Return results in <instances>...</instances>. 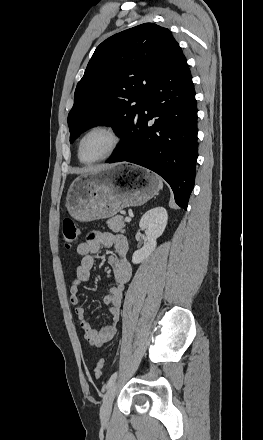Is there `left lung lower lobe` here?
Instances as JSON below:
<instances>
[{
    "label": "left lung lower lobe",
    "instance_id": "left-lung-lower-lobe-1",
    "mask_svg": "<svg viewBox=\"0 0 263 440\" xmlns=\"http://www.w3.org/2000/svg\"><path fill=\"white\" fill-rule=\"evenodd\" d=\"M196 159L195 90L176 42L147 92L130 136L106 162L127 161L156 172L171 186L176 203L186 210L195 182Z\"/></svg>",
    "mask_w": 263,
    "mask_h": 440
}]
</instances>
